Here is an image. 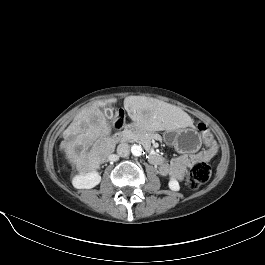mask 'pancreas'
Here are the masks:
<instances>
[{"mask_svg":"<svg viewBox=\"0 0 265 265\" xmlns=\"http://www.w3.org/2000/svg\"><path fill=\"white\" fill-rule=\"evenodd\" d=\"M154 139H156V137L154 134L151 133H143L139 131L127 132V140L141 143L148 150L151 148V142Z\"/></svg>","mask_w":265,"mask_h":265,"instance_id":"obj_1","label":"pancreas"}]
</instances>
